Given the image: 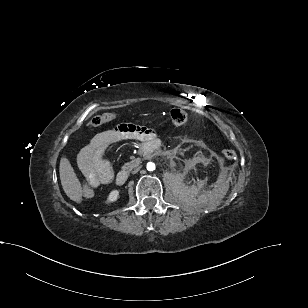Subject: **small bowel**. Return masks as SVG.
Returning a JSON list of instances; mask_svg holds the SVG:
<instances>
[{"label": "small bowel", "instance_id": "small-bowel-1", "mask_svg": "<svg viewBox=\"0 0 308 308\" xmlns=\"http://www.w3.org/2000/svg\"><path fill=\"white\" fill-rule=\"evenodd\" d=\"M129 139L148 142L155 140L156 134L151 128L123 123L96 134L81 150L78 165L89 184L98 186L111 182L114 172L106 158V151L113 144Z\"/></svg>", "mask_w": 308, "mask_h": 308}]
</instances>
